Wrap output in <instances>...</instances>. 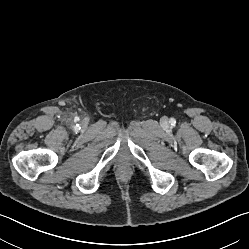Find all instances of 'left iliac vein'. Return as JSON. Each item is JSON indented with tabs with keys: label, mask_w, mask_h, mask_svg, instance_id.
Returning a JSON list of instances; mask_svg holds the SVG:
<instances>
[{
	"label": "left iliac vein",
	"mask_w": 249,
	"mask_h": 249,
	"mask_svg": "<svg viewBox=\"0 0 249 249\" xmlns=\"http://www.w3.org/2000/svg\"><path fill=\"white\" fill-rule=\"evenodd\" d=\"M163 122H164V123H166V122H167V120L164 118V119H163Z\"/></svg>",
	"instance_id": "1"
}]
</instances>
